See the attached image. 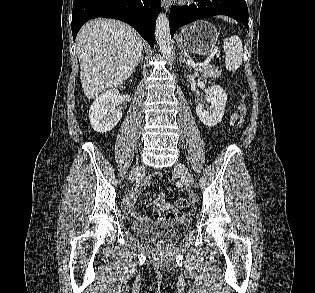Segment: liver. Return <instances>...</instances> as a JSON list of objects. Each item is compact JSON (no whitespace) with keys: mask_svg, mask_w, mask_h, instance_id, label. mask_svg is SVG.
Instances as JSON below:
<instances>
[{"mask_svg":"<svg viewBox=\"0 0 315 293\" xmlns=\"http://www.w3.org/2000/svg\"><path fill=\"white\" fill-rule=\"evenodd\" d=\"M77 47L80 80L88 99L127 80L143 52L140 35L113 19L88 22L78 33Z\"/></svg>","mask_w":315,"mask_h":293,"instance_id":"6515ba94","label":"liver"}]
</instances>
